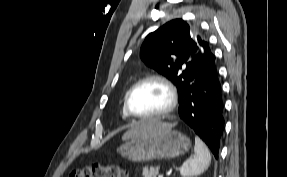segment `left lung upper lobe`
I'll use <instances>...</instances> for the list:
<instances>
[{"label":"left lung upper lobe","instance_id":"left-lung-upper-lobe-1","mask_svg":"<svg viewBox=\"0 0 287 177\" xmlns=\"http://www.w3.org/2000/svg\"><path fill=\"white\" fill-rule=\"evenodd\" d=\"M212 55L209 44L182 19H174L145 38L140 51L146 65L183 88Z\"/></svg>","mask_w":287,"mask_h":177}]
</instances>
